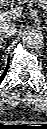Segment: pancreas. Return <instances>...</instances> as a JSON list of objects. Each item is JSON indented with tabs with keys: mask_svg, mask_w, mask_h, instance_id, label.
Masks as SVG:
<instances>
[{
	"mask_svg": "<svg viewBox=\"0 0 47 129\" xmlns=\"http://www.w3.org/2000/svg\"><path fill=\"white\" fill-rule=\"evenodd\" d=\"M34 3H37L43 8H47V0H19V4H27L28 6H31Z\"/></svg>",
	"mask_w": 47,
	"mask_h": 129,
	"instance_id": "pancreas-1",
	"label": "pancreas"
}]
</instances>
